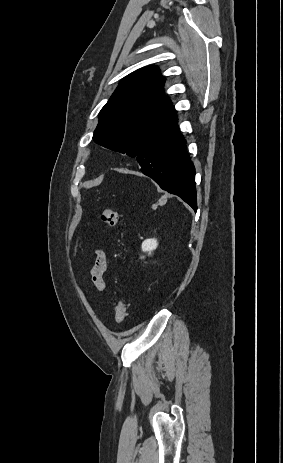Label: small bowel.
<instances>
[{
	"mask_svg": "<svg viewBox=\"0 0 283 463\" xmlns=\"http://www.w3.org/2000/svg\"><path fill=\"white\" fill-rule=\"evenodd\" d=\"M109 266L110 259L103 251L97 250L94 265L90 271V276L91 281L98 292L104 291L106 287L104 274L109 269Z\"/></svg>",
	"mask_w": 283,
	"mask_h": 463,
	"instance_id": "small-bowel-1",
	"label": "small bowel"
}]
</instances>
